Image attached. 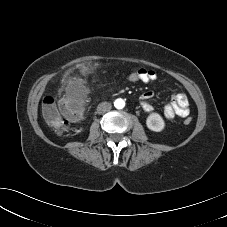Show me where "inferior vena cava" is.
Returning a JSON list of instances; mask_svg holds the SVG:
<instances>
[{"instance_id":"obj_1","label":"inferior vena cava","mask_w":227,"mask_h":227,"mask_svg":"<svg viewBox=\"0 0 227 227\" xmlns=\"http://www.w3.org/2000/svg\"><path fill=\"white\" fill-rule=\"evenodd\" d=\"M111 108H112L111 103H109V102H101V103L98 105V107H97V112H98L99 114H104V113L110 111Z\"/></svg>"}]
</instances>
